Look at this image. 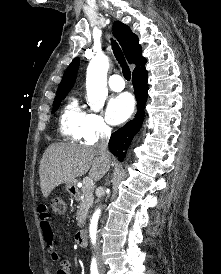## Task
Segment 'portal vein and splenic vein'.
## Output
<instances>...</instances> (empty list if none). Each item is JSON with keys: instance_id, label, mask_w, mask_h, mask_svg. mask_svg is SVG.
<instances>
[{"instance_id": "obj_1", "label": "portal vein and splenic vein", "mask_w": 221, "mask_h": 274, "mask_svg": "<svg viewBox=\"0 0 221 274\" xmlns=\"http://www.w3.org/2000/svg\"><path fill=\"white\" fill-rule=\"evenodd\" d=\"M83 185L86 187V188H92L93 185H94V182L92 179L90 178H85L83 179Z\"/></svg>"}]
</instances>
